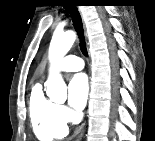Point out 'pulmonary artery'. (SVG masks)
Here are the masks:
<instances>
[{
	"label": "pulmonary artery",
	"mask_w": 155,
	"mask_h": 141,
	"mask_svg": "<svg viewBox=\"0 0 155 141\" xmlns=\"http://www.w3.org/2000/svg\"><path fill=\"white\" fill-rule=\"evenodd\" d=\"M58 67L63 71H78L84 67V62L78 56L68 55L59 62Z\"/></svg>",
	"instance_id": "pulmonary-artery-1"
}]
</instances>
